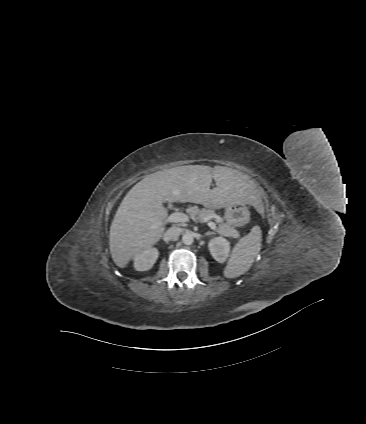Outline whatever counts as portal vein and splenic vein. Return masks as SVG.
<instances>
[{"instance_id":"1","label":"portal vein and splenic vein","mask_w":366,"mask_h":424,"mask_svg":"<svg viewBox=\"0 0 366 424\" xmlns=\"http://www.w3.org/2000/svg\"><path fill=\"white\" fill-rule=\"evenodd\" d=\"M190 219H193V217L182 213V212H174L172 214H170L167 219L166 222H170V223H178V222H188ZM209 219H205V221L207 222L208 227H210V229L212 230H217V226L214 222L212 221H208Z\"/></svg>"}]
</instances>
